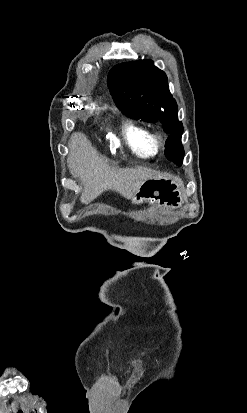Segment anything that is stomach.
<instances>
[{
	"mask_svg": "<svg viewBox=\"0 0 247 413\" xmlns=\"http://www.w3.org/2000/svg\"><path fill=\"white\" fill-rule=\"evenodd\" d=\"M132 202H155L158 207L179 209L184 202V184L178 176L160 174L147 178L131 198Z\"/></svg>",
	"mask_w": 247,
	"mask_h": 413,
	"instance_id": "1",
	"label": "stomach"
}]
</instances>
